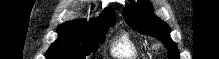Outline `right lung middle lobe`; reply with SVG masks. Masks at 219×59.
<instances>
[{
    "label": "right lung middle lobe",
    "instance_id": "right-lung-middle-lobe-1",
    "mask_svg": "<svg viewBox=\"0 0 219 59\" xmlns=\"http://www.w3.org/2000/svg\"><path fill=\"white\" fill-rule=\"evenodd\" d=\"M103 28H82L61 25L59 38L49 47L46 59H85L98 50V41L104 42L110 26Z\"/></svg>",
    "mask_w": 219,
    "mask_h": 59
}]
</instances>
